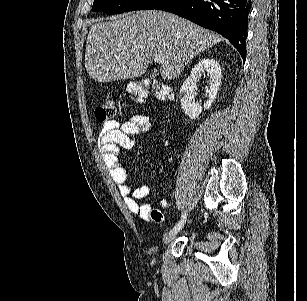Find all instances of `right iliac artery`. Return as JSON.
Listing matches in <instances>:
<instances>
[{"mask_svg": "<svg viewBox=\"0 0 307 301\" xmlns=\"http://www.w3.org/2000/svg\"><path fill=\"white\" fill-rule=\"evenodd\" d=\"M186 216H187V214H186V212H184V213L182 214V217H181L180 221H179V222L176 224V226L171 230V232L177 233V232L183 227V225H184V223H185V221H186Z\"/></svg>", "mask_w": 307, "mask_h": 301, "instance_id": "1", "label": "right iliac artery"}]
</instances>
